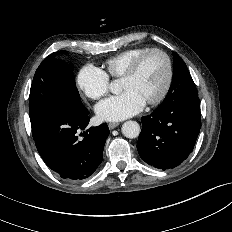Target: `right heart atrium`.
Instances as JSON below:
<instances>
[{
  "mask_svg": "<svg viewBox=\"0 0 232 232\" xmlns=\"http://www.w3.org/2000/svg\"><path fill=\"white\" fill-rule=\"evenodd\" d=\"M80 92L92 100L100 99L109 90V77L98 67L93 65L83 66L76 77Z\"/></svg>",
  "mask_w": 232,
  "mask_h": 232,
  "instance_id": "right-heart-atrium-1",
  "label": "right heart atrium"
}]
</instances>
